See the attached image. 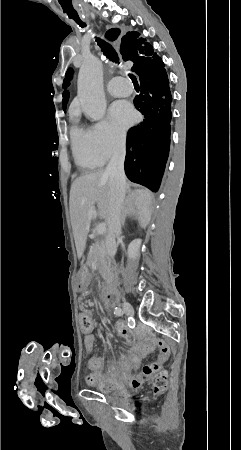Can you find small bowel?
Segmentation results:
<instances>
[{
    "label": "small bowel",
    "instance_id": "small-bowel-1",
    "mask_svg": "<svg viewBox=\"0 0 241 450\" xmlns=\"http://www.w3.org/2000/svg\"><path fill=\"white\" fill-rule=\"evenodd\" d=\"M80 290L85 288V283H79ZM83 311L92 312L85 306ZM94 328V325H92ZM118 336L130 347L126 352L121 353V360L116 363L103 357L91 356L88 361V378L92 385L101 389H111L123 383L128 384L133 389H138L145 378L160 370L162 365L168 360L170 352L166 343L162 340L154 341L144 336L142 328L130 329L123 322L116 324ZM95 337L93 333H84V347L88 354L94 350ZM157 345L160 354L156 361L141 369L139 373H134V369L140 362L143 353ZM105 365L109 369L104 371Z\"/></svg>",
    "mask_w": 241,
    "mask_h": 450
}]
</instances>
